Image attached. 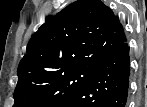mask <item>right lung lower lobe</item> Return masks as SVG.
<instances>
[{
    "mask_svg": "<svg viewBox=\"0 0 147 107\" xmlns=\"http://www.w3.org/2000/svg\"><path fill=\"white\" fill-rule=\"evenodd\" d=\"M129 76V48L125 41L76 93L58 107H126Z\"/></svg>",
    "mask_w": 147,
    "mask_h": 107,
    "instance_id": "1",
    "label": "right lung lower lobe"
}]
</instances>
